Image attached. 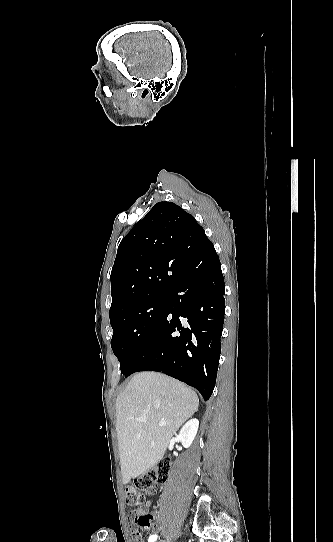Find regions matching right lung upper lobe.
<instances>
[{
	"label": "right lung upper lobe",
	"instance_id": "1",
	"mask_svg": "<svg viewBox=\"0 0 333 542\" xmlns=\"http://www.w3.org/2000/svg\"><path fill=\"white\" fill-rule=\"evenodd\" d=\"M211 242L195 218L172 202H159L121 241L111 271L110 318L153 301L183 278L176 257Z\"/></svg>",
	"mask_w": 333,
	"mask_h": 542
}]
</instances>
